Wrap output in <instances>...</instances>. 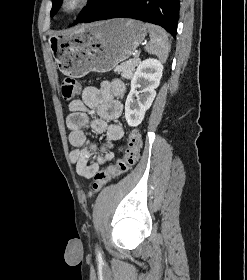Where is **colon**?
Wrapping results in <instances>:
<instances>
[{
	"label": "colon",
	"mask_w": 247,
	"mask_h": 280,
	"mask_svg": "<svg viewBox=\"0 0 247 280\" xmlns=\"http://www.w3.org/2000/svg\"><path fill=\"white\" fill-rule=\"evenodd\" d=\"M78 82L67 77L62 81L61 93L64 99L70 100L79 94ZM142 148V139L138 130L134 129L129 133L128 148L123 158L118 159L114 164L99 170L93 177L92 191L98 192L104 188L112 179L127 172L139 159Z\"/></svg>",
	"instance_id": "5ec220e1"
}]
</instances>
